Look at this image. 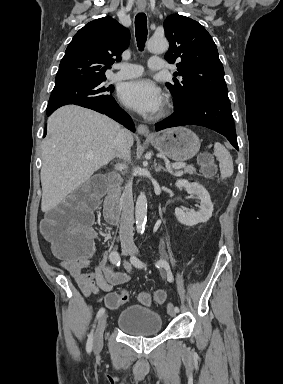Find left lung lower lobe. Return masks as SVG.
<instances>
[{
	"instance_id": "left-lung-lower-lobe-1",
	"label": "left lung lower lobe",
	"mask_w": 283,
	"mask_h": 384,
	"mask_svg": "<svg viewBox=\"0 0 283 384\" xmlns=\"http://www.w3.org/2000/svg\"><path fill=\"white\" fill-rule=\"evenodd\" d=\"M200 125L224 135L238 150L234 120L228 96L198 98L183 108L175 106L174 113L156 123L155 130Z\"/></svg>"
}]
</instances>
